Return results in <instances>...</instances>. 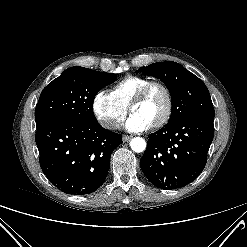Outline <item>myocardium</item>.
I'll list each match as a JSON object with an SVG mask.
<instances>
[{
  "instance_id": "1",
  "label": "myocardium",
  "mask_w": 247,
  "mask_h": 247,
  "mask_svg": "<svg viewBox=\"0 0 247 247\" xmlns=\"http://www.w3.org/2000/svg\"><path fill=\"white\" fill-rule=\"evenodd\" d=\"M154 89H160L166 98V108L164 114L159 120L151 125L152 128H159L169 121L173 112V95L170 88L166 84L160 81H150L133 97L128 107L129 110L132 111L133 107L143 102Z\"/></svg>"
}]
</instances>
